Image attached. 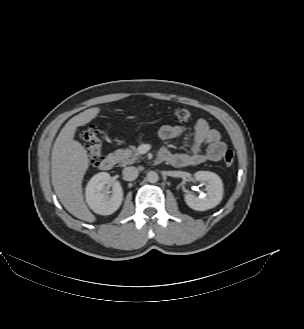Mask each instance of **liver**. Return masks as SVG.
<instances>
[{"mask_svg":"<svg viewBox=\"0 0 304 329\" xmlns=\"http://www.w3.org/2000/svg\"><path fill=\"white\" fill-rule=\"evenodd\" d=\"M99 107L89 108L72 117L60 131L52 149V185L62 205L73 216L92 223L95 216L88 209L82 193L83 177L89 167L86 150L74 140L77 127L92 121Z\"/></svg>","mask_w":304,"mask_h":329,"instance_id":"6515ba94","label":"liver"}]
</instances>
